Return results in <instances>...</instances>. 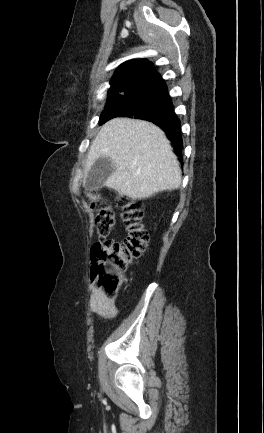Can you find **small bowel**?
Here are the masks:
<instances>
[{"instance_id": "c3829d8e", "label": "small bowel", "mask_w": 264, "mask_h": 433, "mask_svg": "<svg viewBox=\"0 0 264 433\" xmlns=\"http://www.w3.org/2000/svg\"><path fill=\"white\" fill-rule=\"evenodd\" d=\"M89 306L94 314L104 319H113L118 314L116 299L104 296L95 284L91 285Z\"/></svg>"}]
</instances>
